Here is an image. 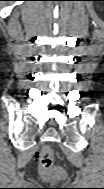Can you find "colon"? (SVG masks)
<instances>
[{
  "label": "colon",
  "mask_w": 104,
  "mask_h": 189,
  "mask_svg": "<svg viewBox=\"0 0 104 189\" xmlns=\"http://www.w3.org/2000/svg\"><path fill=\"white\" fill-rule=\"evenodd\" d=\"M39 160V173L47 180L58 179L61 175L60 170L54 168V154L49 147H44L38 156Z\"/></svg>",
  "instance_id": "obj_1"
}]
</instances>
